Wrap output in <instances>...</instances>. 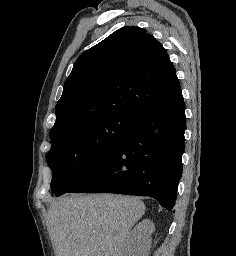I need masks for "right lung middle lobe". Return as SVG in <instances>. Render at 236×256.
<instances>
[{
    "mask_svg": "<svg viewBox=\"0 0 236 256\" xmlns=\"http://www.w3.org/2000/svg\"><path fill=\"white\" fill-rule=\"evenodd\" d=\"M138 119L124 114L104 116L50 135L47 162L52 169L51 189L60 196L123 140Z\"/></svg>",
    "mask_w": 236,
    "mask_h": 256,
    "instance_id": "1",
    "label": "right lung middle lobe"
}]
</instances>
